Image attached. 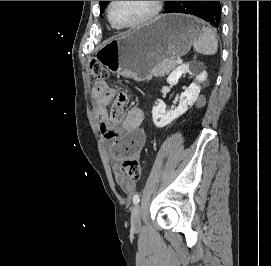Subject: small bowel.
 I'll return each mask as SVG.
<instances>
[{
    "instance_id": "1",
    "label": "small bowel",
    "mask_w": 271,
    "mask_h": 266,
    "mask_svg": "<svg viewBox=\"0 0 271 266\" xmlns=\"http://www.w3.org/2000/svg\"><path fill=\"white\" fill-rule=\"evenodd\" d=\"M92 96L95 101V114L100 123V129L105 138L112 142L114 161L112 170L116 182L125 192H131L134 181L126 178L120 172V164L124 159L135 157L141 151L145 135L141 130L144 119L143 111L132 107L126 111V99H121L119 93L104 85L94 86ZM111 104V108L108 106Z\"/></svg>"
}]
</instances>
